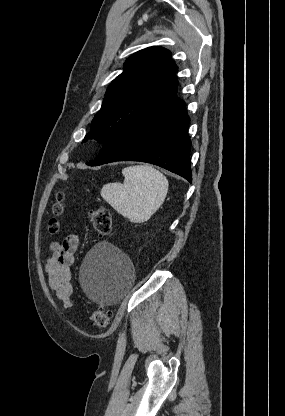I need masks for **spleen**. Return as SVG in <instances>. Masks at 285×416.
<instances>
[{"mask_svg": "<svg viewBox=\"0 0 285 416\" xmlns=\"http://www.w3.org/2000/svg\"><path fill=\"white\" fill-rule=\"evenodd\" d=\"M123 184H105L101 196L118 214L131 222H145L162 206L168 192L167 178L153 166L124 168Z\"/></svg>", "mask_w": 285, "mask_h": 416, "instance_id": "3e777b00", "label": "spleen"}]
</instances>
